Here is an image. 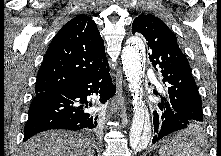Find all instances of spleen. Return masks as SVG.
I'll list each match as a JSON object with an SVG mask.
<instances>
[{"label": "spleen", "instance_id": "obj_1", "mask_svg": "<svg viewBox=\"0 0 221 156\" xmlns=\"http://www.w3.org/2000/svg\"><path fill=\"white\" fill-rule=\"evenodd\" d=\"M160 156H201L200 150L181 139L176 137L170 140L165 146L159 150Z\"/></svg>", "mask_w": 221, "mask_h": 156}]
</instances>
